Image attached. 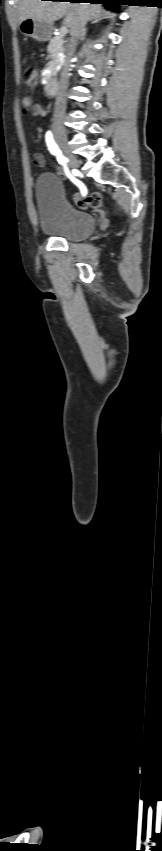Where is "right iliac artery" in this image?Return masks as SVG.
I'll return each instance as SVG.
<instances>
[{
    "label": "right iliac artery",
    "mask_w": 162,
    "mask_h": 851,
    "mask_svg": "<svg viewBox=\"0 0 162 851\" xmlns=\"http://www.w3.org/2000/svg\"><path fill=\"white\" fill-rule=\"evenodd\" d=\"M45 140H46V143H47V146H48L50 153L57 157L58 162L64 166V170H65L66 175L69 178H71L70 183L73 184L74 186H76L79 190H81V192H82L81 194L83 196H87L88 192L86 191L85 185H83V182L79 181L78 179L75 181L76 178L74 176L72 177L71 174L69 173V170L66 166L67 158H65L62 155V152L60 151L59 147L57 146V144L55 143V141L53 139V135H52L51 131H48L46 133Z\"/></svg>",
    "instance_id": "82829eb1"
}]
</instances>
